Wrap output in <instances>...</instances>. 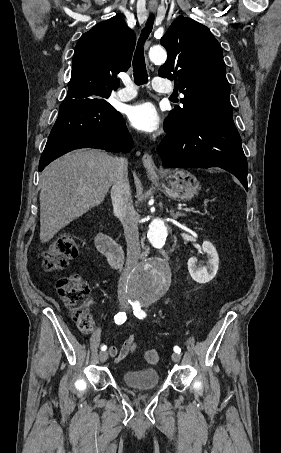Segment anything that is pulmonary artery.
I'll list each match as a JSON object with an SVG mask.
<instances>
[{
  "instance_id": "obj_1",
  "label": "pulmonary artery",
  "mask_w": 281,
  "mask_h": 453,
  "mask_svg": "<svg viewBox=\"0 0 281 453\" xmlns=\"http://www.w3.org/2000/svg\"><path fill=\"white\" fill-rule=\"evenodd\" d=\"M162 78L155 77L154 80H160ZM122 81L125 85V87L119 89L115 96L118 100L120 101H128L133 99L136 96V91L132 89V84L129 78L127 77H122ZM170 90H163V92H169Z\"/></svg>"
}]
</instances>
